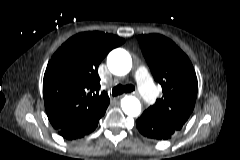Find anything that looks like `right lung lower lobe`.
<instances>
[{
	"label": "right lung lower lobe",
	"instance_id": "98d812e1",
	"mask_svg": "<svg viewBox=\"0 0 240 160\" xmlns=\"http://www.w3.org/2000/svg\"><path fill=\"white\" fill-rule=\"evenodd\" d=\"M109 104H105L89 112L81 118L73 119L58 129L59 135L67 140H74L91 133L98 125L99 119L105 114Z\"/></svg>",
	"mask_w": 240,
	"mask_h": 160
}]
</instances>
